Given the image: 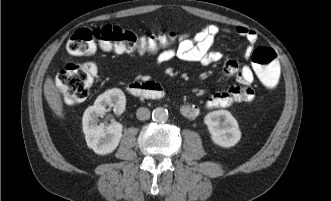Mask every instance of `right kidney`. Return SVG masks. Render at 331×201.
Masks as SVG:
<instances>
[{"label":"right kidney","instance_id":"1","mask_svg":"<svg viewBox=\"0 0 331 201\" xmlns=\"http://www.w3.org/2000/svg\"><path fill=\"white\" fill-rule=\"evenodd\" d=\"M126 97L118 88L110 89L99 95L92 106H89L82 118L83 132L89 148L96 154L112 153L122 137L123 125L113 122L109 125L98 124L99 117H103L109 108H113L118 115L125 110Z\"/></svg>","mask_w":331,"mask_h":201}]
</instances>
